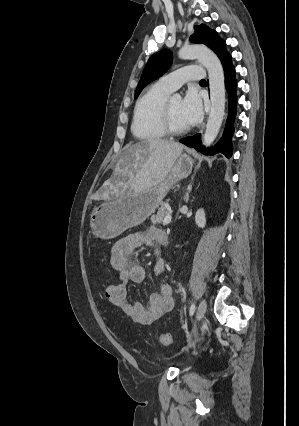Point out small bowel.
I'll use <instances>...</instances> for the list:
<instances>
[{"instance_id": "small-bowel-1", "label": "small bowel", "mask_w": 299, "mask_h": 426, "mask_svg": "<svg viewBox=\"0 0 299 426\" xmlns=\"http://www.w3.org/2000/svg\"><path fill=\"white\" fill-rule=\"evenodd\" d=\"M164 241V233L151 227L146 231H138L118 240L111 250V265L118 272L119 283L126 289L129 282L141 283L145 278V270L138 262L132 259V255L142 245L150 247L154 254L153 273L159 278L165 268V260L158 256V245ZM174 307L173 290L170 284L159 282L156 292L149 296L147 306L139 302L126 300L121 310L133 321L149 325L159 319Z\"/></svg>"}]
</instances>
